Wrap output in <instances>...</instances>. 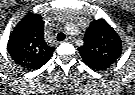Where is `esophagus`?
<instances>
[{"instance_id":"obj_1","label":"esophagus","mask_w":135,"mask_h":95,"mask_svg":"<svg viewBox=\"0 0 135 95\" xmlns=\"http://www.w3.org/2000/svg\"><path fill=\"white\" fill-rule=\"evenodd\" d=\"M64 41H65V42H73V38L67 37Z\"/></svg>"}]
</instances>
